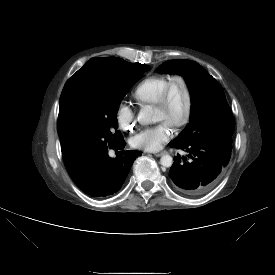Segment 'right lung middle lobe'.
Returning <instances> with one entry per match:
<instances>
[{
	"label": "right lung middle lobe",
	"mask_w": 275,
	"mask_h": 275,
	"mask_svg": "<svg viewBox=\"0 0 275 275\" xmlns=\"http://www.w3.org/2000/svg\"><path fill=\"white\" fill-rule=\"evenodd\" d=\"M148 68L140 63L93 67L66 82L59 102L63 153L78 162L95 158L122 140L117 111L128 90Z\"/></svg>",
	"instance_id": "1"
}]
</instances>
